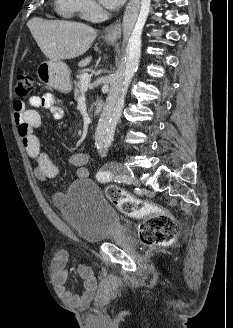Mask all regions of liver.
I'll return each mask as SVG.
<instances>
[{
    "label": "liver",
    "mask_w": 233,
    "mask_h": 328,
    "mask_svg": "<svg viewBox=\"0 0 233 328\" xmlns=\"http://www.w3.org/2000/svg\"><path fill=\"white\" fill-rule=\"evenodd\" d=\"M31 33L43 54L51 61L72 59L83 55L97 37V31L86 24L63 20L34 19ZM87 57L79 62L83 67L91 62Z\"/></svg>",
    "instance_id": "1"
}]
</instances>
